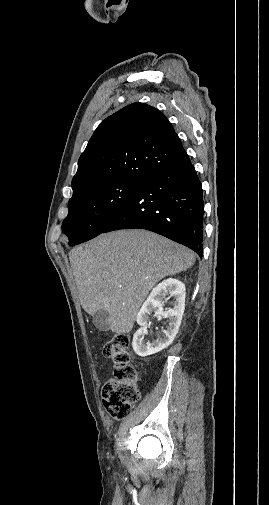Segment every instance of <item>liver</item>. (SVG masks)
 <instances>
[{
  "label": "liver",
  "mask_w": 269,
  "mask_h": 505,
  "mask_svg": "<svg viewBox=\"0 0 269 505\" xmlns=\"http://www.w3.org/2000/svg\"><path fill=\"white\" fill-rule=\"evenodd\" d=\"M69 259L82 308L109 314L114 333H129L149 291L195 262L188 248L150 231L105 233L72 249Z\"/></svg>",
  "instance_id": "obj_1"
}]
</instances>
